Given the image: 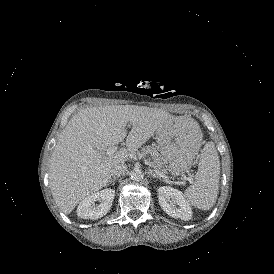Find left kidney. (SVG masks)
Segmentation results:
<instances>
[{
	"label": "left kidney",
	"instance_id": "1",
	"mask_svg": "<svg viewBox=\"0 0 274 274\" xmlns=\"http://www.w3.org/2000/svg\"><path fill=\"white\" fill-rule=\"evenodd\" d=\"M158 199L161 208L169 216L185 221L192 218L190 204L185 200L181 191L168 186L159 187Z\"/></svg>",
	"mask_w": 274,
	"mask_h": 274
}]
</instances>
